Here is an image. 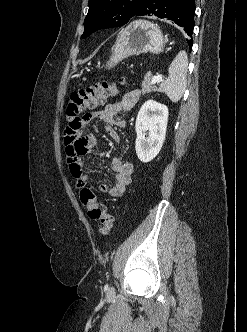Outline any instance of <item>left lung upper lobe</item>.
Wrapping results in <instances>:
<instances>
[{
	"instance_id": "obj_1",
	"label": "left lung upper lobe",
	"mask_w": 247,
	"mask_h": 332,
	"mask_svg": "<svg viewBox=\"0 0 247 332\" xmlns=\"http://www.w3.org/2000/svg\"><path fill=\"white\" fill-rule=\"evenodd\" d=\"M146 0H89L82 38L93 32L125 25Z\"/></svg>"
}]
</instances>
